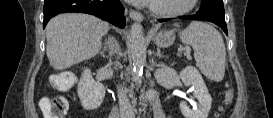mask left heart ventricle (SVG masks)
I'll return each instance as SVG.
<instances>
[{
    "instance_id": "left-heart-ventricle-1",
    "label": "left heart ventricle",
    "mask_w": 273,
    "mask_h": 118,
    "mask_svg": "<svg viewBox=\"0 0 273 118\" xmlns=\"http://www.w3.org/2000/svg\"><path fill=\"white\" fill-rule=\"evenodd\" d=\"M188 0H157L155 6L159 9H180L186 5Z\"/></svg>"
}]
</instances>
